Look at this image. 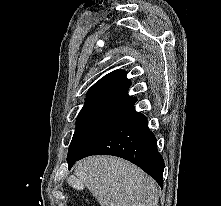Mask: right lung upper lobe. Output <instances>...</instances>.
I'll return each mask as SVG.
<instances>
[{"mask_svg":"<svg viewBox=\"0 0 221 206\" xmlns=\"http://www.w3.org/2000/svg\"><path fill=\"white\" fill-rule=\"evenodd\" d=\"M131 85L126 72L115 70L97 81L87 92L83 108L94 106L132 107L137 98L128 95Z\"/></svg>","mask_w":221,"mask_h":206,"instance_id":"obj_1","label":"right lung upper lobe"}]
</instances>
